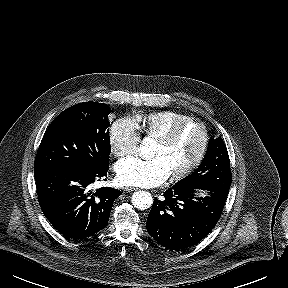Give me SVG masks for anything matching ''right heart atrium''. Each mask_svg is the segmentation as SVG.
Instances as JSON below:
<instances>
[{"mask_svg": "<svg viewBox=\"0 0 288 288\" xmlns=\"http://www.w3.org/2000/svg\"><path fill=\"white\" fill-rule=\"evenodd\" d=\"M108 139L112 154L123 157L136 151L140 133L132 118H122L111 125Z\"/></svg>", "mask_w": 288, "mask_h": 288, "instance_id": "obj_1", "label": "right heart atrium"}]
</instances>
